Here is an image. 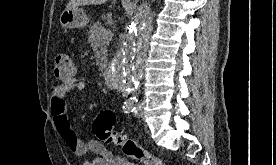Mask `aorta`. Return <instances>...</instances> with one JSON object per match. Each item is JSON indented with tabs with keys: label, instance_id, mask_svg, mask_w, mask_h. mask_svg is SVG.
<instances>
[{
	"label": "aorta",
	"instance_id": "obj_1",
	"mask_svg": "<svg viewBox=\"0 0 276 165\" xmlns=\"http://www.w3.org/2000/svg\"><path fill=\"white\" fill-rule=\"evenodd\" d=\"M151 27V10L144 2L137 18L127 27L120 50L110 66V82L117 88L131 93L137 89L144 70L146 38Z\"/></svg>",
	"mask_w": 276,
	"mask_h": 165
}]
</instances>
